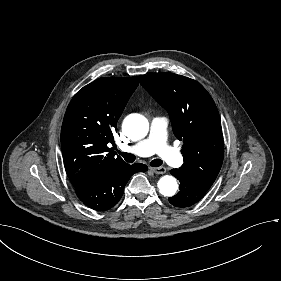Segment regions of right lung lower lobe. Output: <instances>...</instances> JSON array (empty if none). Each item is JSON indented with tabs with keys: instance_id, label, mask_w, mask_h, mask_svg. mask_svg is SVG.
<instances>
[{
	"instance_id": "right-lung-lower-lobe-1",
	"label": "right lung lower lobe",
	"mask_w": 281,
	"mask_h": 281,
	"mask_svg": "<svg viewBox=\"0 0 281 281\" xmlns=\"http://www.w3.org/2000/svg\"><path fill=\"white\" fill-rule=\"evenodd\" d=\"M147 169L146 165L140 163L127 165L94 183L75 189V192L86 206L105 211L119 202L130 177L136 172H145Z\"/></svg>"
}]
</instances>
